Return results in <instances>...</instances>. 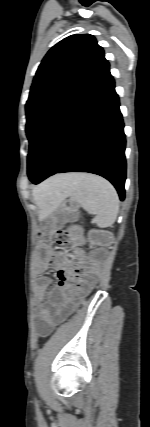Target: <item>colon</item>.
Segmentation results:
<instances>
[{
	"mask_svg": "<svg viewBox=\"0 0 150 427\" xmlns=\"http://www.w3.org/2000/svg\"><path fill=\"white\" fill-rule=\"evenodd\" d=\"M55 239L59 244H64L66 241L65 236L60 231L55 234ZM58 278L60 281V285H64L68 282L79 281L82 278V274L78 269L73 272L61 270L58 272Z\"/></svg>",
	"mask_w": 150,
	"mask_h": 427,
	"instance_id": "1",
	"label": "colon"
}]
</instances>
